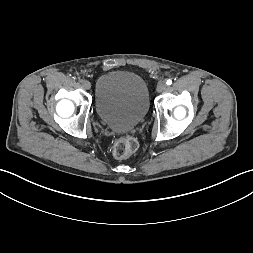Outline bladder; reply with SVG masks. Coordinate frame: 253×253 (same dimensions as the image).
<instances>
[{
    "mask_svg": "<svg viewBox=\"0 0 253 253\" xmlns=\"http://www.w3.org/2000/svg\"><path fill=\"white\" fill-rule=\"evenodd\" d=\"M95 108L109 128L127 132L139 125L149 110V92L145 80L127 71L101 75L95 86Z\"/></svg>",
    "mask_w": 253,
    "mask_h": 253,
    "instance_id": "1",
    "label": "bladder"
}]
</instances>
